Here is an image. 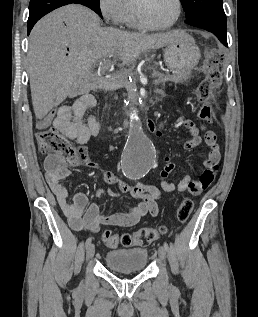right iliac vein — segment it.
<instances>
[{"instance_id":"1","label":"right iliac vein","mask_w":258,"mask_h":317,"mask_svg":"<svg viewBox=\"0 0 258 317\" xmlns=\"http://www.w3.org/2000/svg\"><path fill=\"white\" fill-rule=\"evenodd\" d=\"M95 246L94 244H89L88 248L86 249V261H91V258L93 257L95 253Z\"/></svg>"}]
</instances>
